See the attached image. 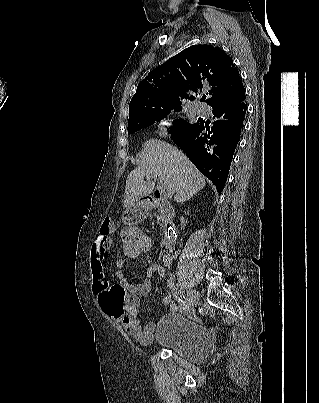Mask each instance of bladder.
Returning <instances> with one entry per match:
<instances>
[{
	"mask_svg": "<svg viewBox=\"0 0 319 403\" xmlns=\"http://www.w3.org/2000/svg\"><path fill=\"white\" fill-rule=\"evenodd\" d=\"M152 345L199 363L208 358L211 336L205 326L184 318L178 312H171L158 321Z\"/></svg>",
	"mask_w": 319,
	"mask_h": 403,
	"instance_id": "bladder-1",
	"label": "bladder"
}]
</instances>
